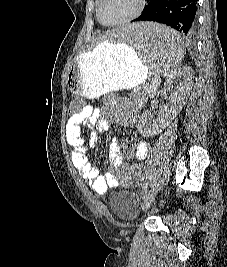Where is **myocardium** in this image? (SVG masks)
I'll use <instances>...</instances> for the list:
<instances>
[{
  "label": "myocardium",
  "mask_w": 227,
  "mask_h": 267,
  "mask_svg": "<svg viewBox=\"0 0 227 267\" xmlns=\"http://www.w3.org/2000/svg\"><path fill=\"white\" fill-rule=\"evenodd\" d=\"M102 1L103 0H98L97 1L96 14H97L98 20L103 25H106V26H116V25L128 23V22L136 19L143 12V10L145 8V5H146V0H138L136 9L130 15H128L127 17H125V18H123L121 20H118V21H115V22H111V23H106V22H104L102 20V17H101V4H102Z\"/></svg>",
  "instance_id": "f54148a6"
}]
</instances>
